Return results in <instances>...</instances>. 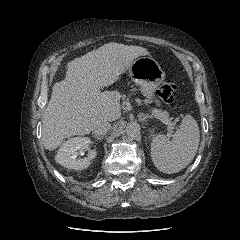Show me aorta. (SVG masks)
Instances as JSON below:
<instances>
[{"label": "aorta", "mask_w": 240, "mask_h": 240, "mask_svg": "<svg viewBox=\"0 0 240 240\" xmlns=\"http://www.w3.org/2000/svg\"><path fill=\"white\" fill-rule=\"evenodd\" d=\"M125 132L130 137H135L140 133V125L137 122H129L126 126Z\"/></svg>", "instance_id": "obj_1"}]
</instances>
